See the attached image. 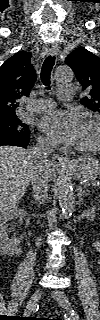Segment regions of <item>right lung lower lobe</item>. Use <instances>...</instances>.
<instances>
[{
	"instance_id": "98d812e1",
	"label": "right lung lower lobe",
	"mask_w": 100,
	"mask_h": 320,
	"mask_svg": "<svg viewBox=\"0 0 100 320\" xmlns=\"http://www.w3.org/2000/svg\"><path fill=\"white\" fill-rule=\"evenodd\" d=\"M28 143L29 135L0 137V145H14L26 148Z\"/></svg>"
}]
</instances>
